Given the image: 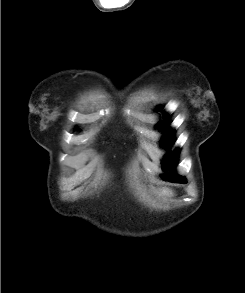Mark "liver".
<instances>
[{"label":"liver","mask_w":245,"mask_h":293,"mask_svg":"<svg viewBox=\"0 0 245 293\" xmlns=\"http://www.w3.org/2000/svg\"><path fill=\"white\" fill-rule=\"evenodd\" d=\"M160 193L164 196H172L173 195L172 191L168 188H162L160 190Z\"/></svg>","instance_id":"6515ba94"}]
</instances>
